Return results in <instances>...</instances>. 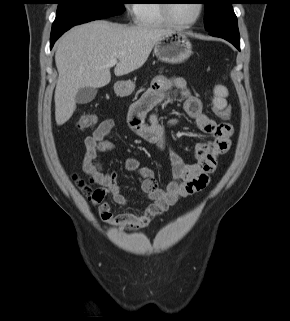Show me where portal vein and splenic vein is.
<instances>
[{
	"label": "portal vein and splenic vein",
	"instance_id": "portal-vein-and-splenic-vein-1",
	"mask_svg": "<svg viewBox=\"0 0 290 321\" xmlns=\"http://www.w3.org/2000/svg\"><path fill=\"white\" fill-rule=\"evenodd\" d=\"M117 64V60L116 59H112L109 61V63L107 64L108 67H113Z\"/></svg>",
	"mask_w": 290,
	"mask_h": 321
}]
</instances>
